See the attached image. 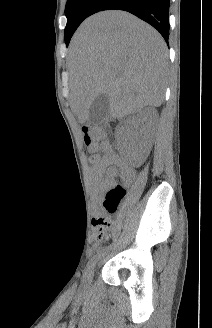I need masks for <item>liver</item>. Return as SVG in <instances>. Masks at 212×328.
Listing matches in <instances>:
<instances>
[{"instance_id":"liver-1","label":"liver","mask_w":212,"mask_h":328,"mask_svg":"<svg viewBox=\"0 0 212 328\" xmlns=\"http://www.w3.org/2000/svg\"><path fill=\"white\" fill-rule=\"evenodd\" d=\"M70 105L80 123L100 94L109 116L122 118L164 99L167 47L150 25L123 11L87 18L72 37L68 55Z\"/></svg>"}]
</instances>
